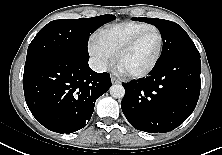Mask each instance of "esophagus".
Masks as SVG:
<instances>
[{"label":"esophagus","instance_id":"1","mask_svg":"<svg viewBox=\"0 0 222 155\" xmlns=\"http://www.w3.org/2000/svg\"><path fill=\"white\" fill-rule=\"evenodd\" d=\"M111 82H112L113 84H117V83H119V80L112 76V77H111Z\"/></svg>","mask_w":222,"mask_h":155}]
</instances>
